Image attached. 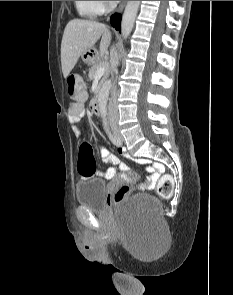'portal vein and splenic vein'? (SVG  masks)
<instances>
[{
  "label": "portal vein and splenic vein",
  "instance_id": "obj_1",
  "mask_svg": "<svg viewBox=\"0 0 233 295\" xmlns=\"http://www.w3.org/2000/svg\"><path fill=\"white\" fill-rule=\"evenodd\" d=\"M106 70H107L106 65L100 66L96 71V77L102 76L105 73Z\"/></svg>",
  "mask_w": 233,
  "mask_h": 295
}]
</instances>
